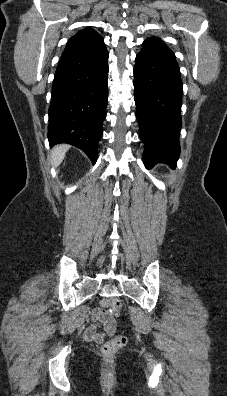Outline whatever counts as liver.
Returning a JSON list of instances; mask_svg holds the SVG:
<instances>
[{"instance_id": "liver-1", "label": "liver", "mask_w": 227, "mask_h": 396, "mask_svg": "<svg viewBox=\"0 0 227 396\" xmlns=\"http://www.w3.org/2000/svg\"><path fill=\"white\" fill-rule=\"evenodd\" d=\"M69 149L68 145L62 144L53 148L52 150V164L57 167L61 164L65 157L66 151Z\"/></svg>"}]
</instances>
